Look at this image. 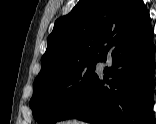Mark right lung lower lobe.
Listing matches in <instances>:
<instances>
[{
  "instance_id": "right-lung-lower-lobe-1",
  "label": "right lung lower lobe",
  "mask_w": 156,
  "mask_h": 124,
  "mask_svg": "<svg viewBox=\"0 0 156 124\" xmlns=\"http://www.w3.org/2000/svg\"><path fill=\"white\" fill-rule=\"evenodd\" d=\"M151 25L125 33L110 50L112 67L96 76L88 89L60 117L93 124H156L152 107L156 47ZM108 77L112 79L109 80Z\"/></svg>"
}]
</instances>
